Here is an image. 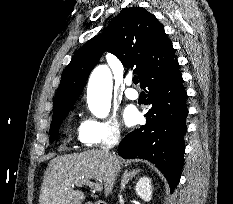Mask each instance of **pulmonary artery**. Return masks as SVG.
<instances>
[{
    "label": "pulmonary artery",
    "mask_w": 233,
    "mask_h": 204,
    "mask_svg": "<svg viewBox=\"0 0 233 204\" xmlns=\"http://www.w3.org/2000/svg\"><path fill=\"white\" fill-rule=\"evenodd\" d=\"M126 84H127V89L125 90V95H126V97L128 98V99H131V100H136V99H138V96H139V94H138V92L134 89V88H132L131 87V85H132V80L131 79H128L127 81H126Z\"/></svg>",
    "instance_id": "pulmonary-artery-1"
}]
</instances>
